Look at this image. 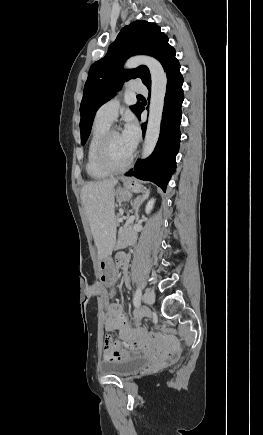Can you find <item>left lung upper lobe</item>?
<instances>
[{"label": "left lung upper lobe", "instance_id": "1", "mask_svg": "<svg viewBox=\"0 0 263 435\" xmlns=\"http://www.w3.org/2000/svg\"><path fill=\"white\" fill-rule=\"evenodd\" d=\"M135 54H147L160 61L164 70L176 60L175 49L168 44V37L155 23L137 20L121 29L115 41L109 46L106 56L92 64L84 86L80 105V131L82 145L88 139L95 113L102 104L119 91L125 81L141 78L148 87L151 76L146 66L124 70L123 63ZM142 105L132 106L138 116Z\"/></svg>", "mask_w": 263, "mask_h": 435}]
</instances>
